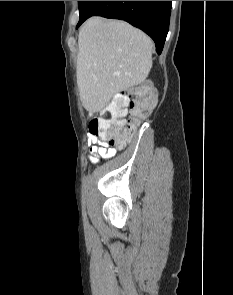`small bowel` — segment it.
<instances>
[{
	"label": "small bowel",
	"mask_w": 233,
	"mask_h": 295,
	"mask_svg": "<svg viewBox=\"0 0 233 295\" xmlns=\"http://www.w3.org/2000/svg\"><path fill=\"white\" fill-rule=\"evenodd\" d=\"M87 148L90 152L88 159L91 163H97L100 158H111L117 151L116 148L108 146L105 142L100 141L98 137L94 135L88 136Z\"/></svg>",
	"instance_id": "c3829d8e"
}]
</instances>
